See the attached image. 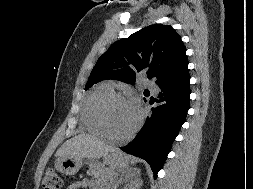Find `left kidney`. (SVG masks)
Wrapping results in <instances>:
<instances>
[{
    "label": "left kidney",
    "instance_id": "1",
    "mask_svg": "<svg viewBox=\"0 0 253 189\" xmlns=\"http://www.w3.org/2000/svg\"><path fill=\"white\" fill-rule=\"evenodd\" d=\"M141 185L142 181L140 179H136L135 181H132L130 184H128L125 189H139Z\"/></svg>",
    "mask_w": 253,
    "mask_h": 189
}]
</instances>
